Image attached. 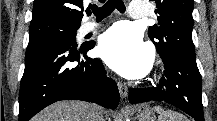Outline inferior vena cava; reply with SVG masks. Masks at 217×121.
<instances>
[{
    "label": "inferior vena cava",
    "instance_id": "inferior-vena-cava-1",
    "mask_svg": "<svg viewBox=\"0 0 217 121\" xmlns=\"http://www.w3.org/2000/svg\"><path fill=\"white\" fill-rule=\"evenodd\" d=\"M90 121H103L102 110L97 105H92V110L90 112Z\"/></svg>",
    "mask_w": 217,
    "mask_h": 121
}]
</instances>
